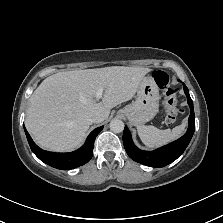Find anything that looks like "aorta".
Returning a JSON list of instances; mask_svg holds the SVG:
<instances>
[{"mask_svg": "<svg viewBox=\"0 0 223 223\" xmlns=\"http://www.w3.org/2000/svg\"><path fill=\"white\" fill-rule=\"evenodd\" d=\"M110 130L115 133H120L124 130V122L119 119H113L110 122Z\"/></svg>", "mask_w": 223, "mask_h": 223, "instance_id": "aorta-1", "label": "aorta"}]
</instances>
